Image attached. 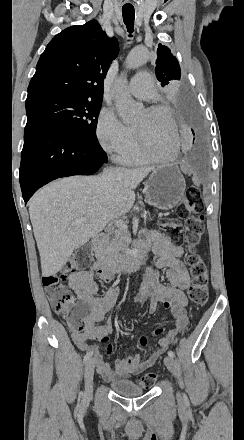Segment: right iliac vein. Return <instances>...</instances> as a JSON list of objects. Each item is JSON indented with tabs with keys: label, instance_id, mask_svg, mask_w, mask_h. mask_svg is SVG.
<instances>
[{
	"label": "right iliac vein",
	"instance_id": "1",
	"mask_svg": "<svg viewBox=\"0 0 244 440\" xmlns=\"http://www.w3.org/2000/svg\"><path fill=\"white\" fill-rule=\"evenodd\" d=\"M96 361L95 359H90L85 366V391H84V403H88L89 399L92 397V387H93V376Z\"/></svg>",
	"mask_w": 244,
	"mask_h": 440
}]
</instances>
